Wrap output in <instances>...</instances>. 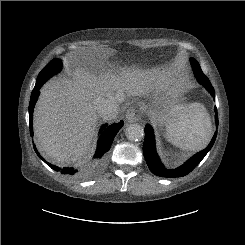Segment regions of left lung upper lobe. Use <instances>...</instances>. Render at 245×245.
Masks as SVG:
<instances>
[{"mask_svg": "<svg viewBox=\"0 0 245 245\" xmlns=\"http://www.w3.org/2000/svg\"><path fill=\"white\" fill-rule=\"evenodd\" d=\"M191 64L195 77L197 78L199 83L202 84L205 81H209V79L203 74L199 63L194 58H191Z\"/></svg>", "mask_w": 245, "mask_h": 245, "instance_id": "5c2ea615", "label": "left lung upper lobe"}]
</instances>
